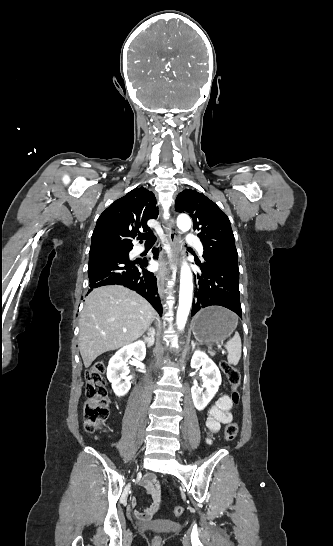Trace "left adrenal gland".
Instances as JSON below:
<instances>
[{
	"label": "left adrenal gland",
	"mask_w": 333,
	"mask_h": 546,
	"mask_svg": "<svg viewBox=\"0 0 333 546\" xmlns=\"http://www.w3.org/2000/svg\"><path fill=\"white\" fill-rule=\"evenodd\" d=\"M191 345H192V351H193L195 349V347H196V343L192 340Z\"/></svg>",
	"instance_id": "a2214340"
}]
</instances>
